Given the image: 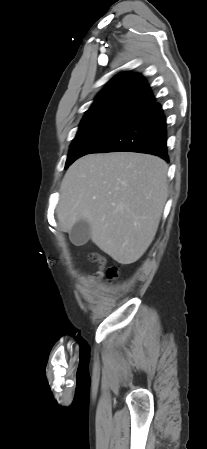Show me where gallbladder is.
<instances>
[{
  "mask_svg": "<svg viewBox=\"0 0 207 449\" xmlns=\"http://www.w3.org/2000/svg\"><path fill=\"white\" fill-rule=\"evenodd\" d=\"M91 227L88 222L84 220L77 221L69 232L71 242L77 246L87 243L90 238Z\"/></svg>",
  "mask_w": 207,
  "mask_h": 449,
  "instance_id": "gallbladder-1",
  "label": "gallbladder"
}]
</instances>
